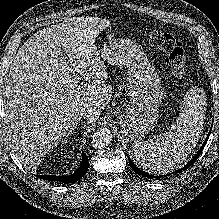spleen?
<instances>
[{
    "label": "spleen",
    "instance_id": "obj_1",
    "mask_svg": "<svg viewBox=\"0 0 219 219\" xmlns=\"http://www.w3.org/2000/svg\"><path fill=\"white\" fill-rule=\"evenodd\" d=\"M199 93L198 88L187 93L184 106L169 132L149 142L132 143L134 157L141 167L152 173L165 174L186 161L203 128L205 99Z\"/></svg>",
    "mask_w": 219,
    "mask_h": 219
}]
</instances>
